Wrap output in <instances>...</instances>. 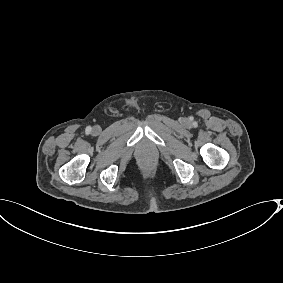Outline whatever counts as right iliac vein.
<instances>
[{
    "label": "right iliac vein",
    "mask_w": 283,
    "mask_h": 283,
    "mask_svg": "<svg viewBox=\"0 0 283 283\" xmlns=\"http://www.w3.org/2000/svg\"><path fill=\"white\" fill-rule=\"evenodd\" d=\"M98 131H99V127L95 126V127L93 128V132H94V133H97Z\"/></svg>",
    "instance_id": "obj_1"
}]
</instances>
